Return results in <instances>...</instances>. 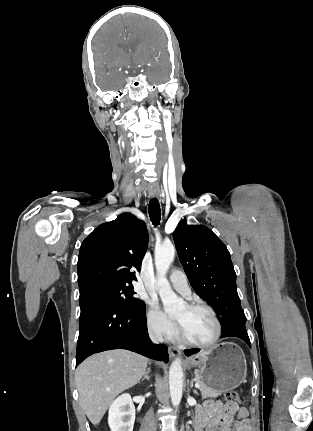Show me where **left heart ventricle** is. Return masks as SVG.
Returning a JSON list of instances; mask_svg holds the SVG:
<instances>
[{
	"label": "left heart ventricle",
	"mask_w": 313,
	"mask_h": 431,
	"mask_svg": "<svg viewBox=\"0 0 313 431\" xmlns=\"http://www.w3.org/2000/svg\"><path fill=\"white\" fill-rule=\"evenodd\" d=\"M173 318L181 325L186 337L194 342L207 343L215 336V322L206 310H189L186 305H182Z\"/></svg>",
	"instance_id": "obj_1"
}]
</instances>
